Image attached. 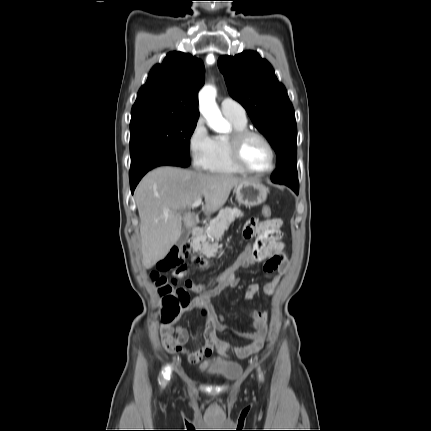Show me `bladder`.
Instances as JSON below:
<instances>
[{"label":"bladder","mask_w":431,"mask_h":431,"mask_svg":"<svg viewBox=\"0 0 431 431\" xmlns=\"http://www.w3.org/2000/svg\"><path fill=\"white\" fill-rule=\"evenodd\" d=\"M240 371L241 367L239 364L235 362H226L208 369L205 374L208 377L221 381H232L239 376Z\"/></svg>","instance_id":"obj_1"}]
</instances>
